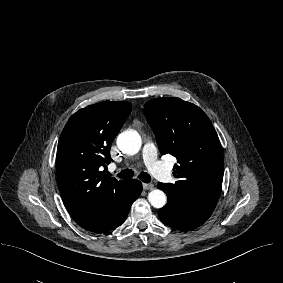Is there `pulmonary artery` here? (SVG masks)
<instances>
[{
  "label": "pulmonary artery",
  "mask_w": 283,
  "mask_h": 283,
  "mask_svg": "<svg viewBox=\"0 0 283 283\" xmlns=\"http://www.w3.org/2000/svg\"><path fill=\"white\" fill-rule=\"evenodd\" d=\"M142 155L147 168L155 177L163 182L169 181L171 177L170 170L157 159V149L152 142H145Z\"/></svg>",
  "instance_id": "obj_1"
}]
</instances>
